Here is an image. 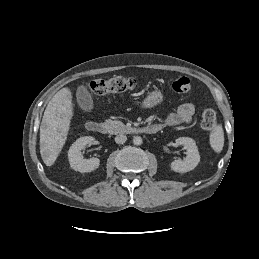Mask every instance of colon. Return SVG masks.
<instances>
[{"mask_svg":"<svg viewBox=\"0 0 259 259\" xmlns=\"http://www.w3.org/2000/svg\"><path fill=\"white\" fill-rule=\"evenodd\" d=\"M171 88L178 93H188L191 90V82L187 77H179L168 81ZM137 81L132 77L116 76L110 79H96L89 83L87 90L96 96H103L112 93H124L133 90ZM216 125V114L212 109L204 110L201 126L204 130L210 131Z\"/></svg>","mask_w":259,"mask_h":259,"instance_id":"1","label":"colon"}]
</instances>
